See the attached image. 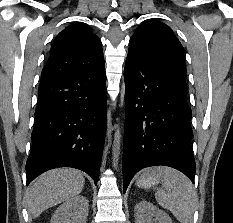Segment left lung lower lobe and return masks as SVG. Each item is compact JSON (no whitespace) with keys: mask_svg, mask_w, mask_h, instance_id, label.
I'll return each mask as SVG.
<instances>
[{"mask_svg":"<svg viewBox=\"0 0 233 223\" xmlns=\"http://www.w3.org/2000/svg\"><path fill=\"white\" fill-rule=\"evenodd\" d=\"M123 191L142 168L173 167L194 183L191 109L184 79L129 48L125 71Z\"/></svg>","mask_w":233,"mask_h":223,"instance_id":"left-lung-lower-lobe-1","label":"left lung lower lobe"}]
</instances>
